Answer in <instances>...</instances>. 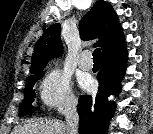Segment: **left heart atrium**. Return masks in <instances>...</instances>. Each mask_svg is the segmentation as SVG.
I'll list each match as a JSON object with an SVG mask.
<instances>
[{
    "mask_svg": "<svg viewBox=\"0 0 153 134\" xmlns=\"http://www.w3.org/2000/svg\"><path fill=\"white\" fill-rule=\"evenodd\" d=\"M83 85H84V87H86V88H89V87H91L92 86V81L90 80V79H85L84 81H83Z\"/></svg>",
    "mask_w": 153,
    "mask_h": 134,
    "instance_id": "39dd6f15",
    "label": "left heart atrium"
}]
</instances>
